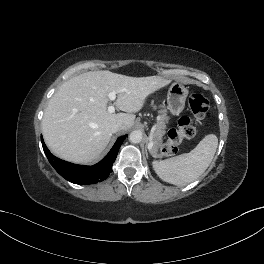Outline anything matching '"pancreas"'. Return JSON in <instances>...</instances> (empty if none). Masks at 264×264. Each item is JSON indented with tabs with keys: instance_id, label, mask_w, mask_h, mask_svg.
<instances>
[{
	"instance_id": "1",
	"label": "pancreas",
	"mask_w": 264,
	"mask_h": 264,
	"mask_svg": "<svg viewBox=\"0 0 264 264\" xmlns=\"http://www.w3.org/2000/svg\"><path fill=\"white\" fill-rule=\"evenodd\" d=\"M162 108L159 110L160 115L158 116V122L156 125V131L154 133L153 139V147L151 149V153L154 156L158 155V149L162 146L163 135L166 129V123L168 122L169 117L167 116V110L161 106Z\"/></svg>"
}]
</instances>
